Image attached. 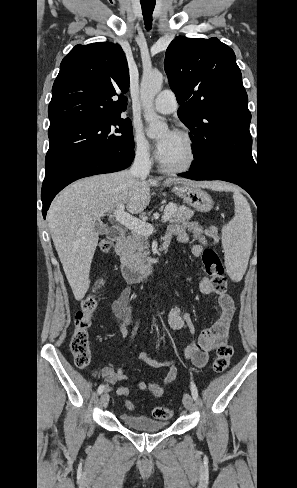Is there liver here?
Masks as SVG:
<instances>
[{
    "mask_svg": "<svg viewBox=\"0 0 297 488\" xmlns=\"http://www.w3.org/2000/svg\"><path fill=\"white\" fill-rule=\"evenodd\" d=\"M179 183L218 188L216 183L202 184L181 178H167L163 185ZM158 184L155 179L134 177L130 170H124L81 179L54 199L47 222L77 301L83 299L90 285V266L99 240L96 221L120 205H126L132 214L143 212L150 203V187Z\"/></svg>",
    "mask_w": 297,
    "mask_h": 488,
    "instance_id": "6515ba94",
    "label": "liver"
}]
</instances>
